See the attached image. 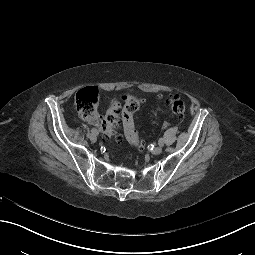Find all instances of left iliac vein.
<instances>
[{
    "label": "left iliac vein",
    "instance_id": "4c4485c4",
    "mask_svg": "<svg viewBox=\"0 0 255 255\" xmlns=\"http://www.w3.org/2000/svg\"><path fill=\"white\" fill-rule=\"evenodd\" d=\"M162 152V146H157V147H155L154 149H153V151H152V153L154 154V155H158V154H160Z\"/></svg>",
    "mask_w": 255,
    "mask_h": 255
}]
</instances>
